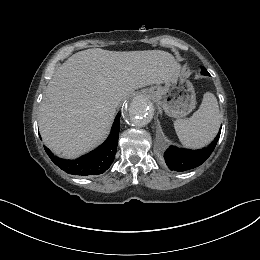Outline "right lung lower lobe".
Wrapping results in <instances>:
<instances>
[{"label":"right lung lower lobe","mask_w":260,"mask_h":260,"mask_svg":"<svg viewBox=\"0 0 260 260\" xmlns=\"http://www.w3.org/2000/svg\"><path fill=\"white\" fill-rule=\"evenodd\" d=\"M119 120L120 114H117L111 133L101 146L78 159H61L44 146L45 151L54 164L63 169L66 173L81 176L102 174L111 166L115 158L120 130Z\"/></svg>","instance_id":"1"}]
</instances>
